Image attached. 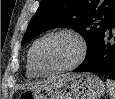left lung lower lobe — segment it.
<instances>
[{
    "label": "left lung lower lobe",
    "instance_id": "left-lung-lower-lobe-1",
    "mask_svg": "<svg viewBox=\"0 0 115 99\" xmlns=\"http://www.w3.org/2000/svg\"><path fill=\"white\" fill-rule=\"evenodd\" d=\"M115 27V17L109 24L98 46L85 58L73 72H94L115 79V43H110L111 28ZM115 40V37H114Z\"/></svg>",
    "mask_w": 115,
    "mask_h": 99
}]
</instances>
